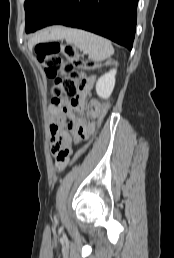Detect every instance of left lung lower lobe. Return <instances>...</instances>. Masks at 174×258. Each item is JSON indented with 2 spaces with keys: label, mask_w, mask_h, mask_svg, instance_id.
Here are the masks:
<instances>
[{
  "label": "left lung lower lobe",
  "mask_w": 174,
  "mask_h": 258,
  "mask_svg": "<svg viewBox=\"0 0 174 258\" xmlns=\"http://www.w3.org/2000/svg\"><path fill=\"white\" fill-rule=\"evenodd\" d=\"M137 3L138 0H60L38 29L55 24L80 28L131 50Z\"/></svg>",
  "instance_id": "left-lung-lower-lobe-1"
}]
</instances>
